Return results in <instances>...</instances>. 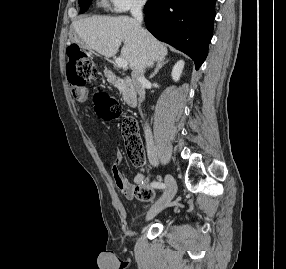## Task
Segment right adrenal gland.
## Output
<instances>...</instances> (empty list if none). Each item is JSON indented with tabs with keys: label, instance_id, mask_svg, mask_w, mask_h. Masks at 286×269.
I'll list each match as a JSON object with an SVG mask.
<instances>
[{
	"label": "right adrenal gland",
	"instance_id": "obj_1",
	"mask_svg": "<svg viewBox=\"0 0 286 269\" xmlns=\"http://www.w3.org/2000/svg\"><path fill=\"white\" fill-rule=\"evenodd\" d=\"M166 63H168V60L165 59L156 61V68L154 69V72L151 74L150 78H153Z\"/></svg>",
	"mask_w": 286,
	"mask_h": 269
}]
</instances>
